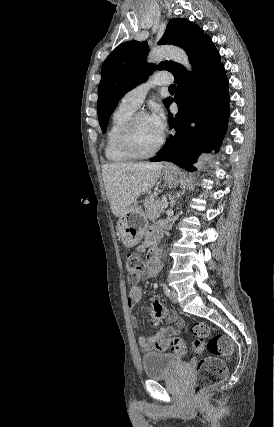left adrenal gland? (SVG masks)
I'll use <instances>...</instances> for the list:
<instances>
[{"label": "left adrenal gland", "instance_id": "obj_1", "mask_svg": "<svg viewBox=\"0 0 274 427\" xmlns=\"http://www.w3.org/2000/svg\"><path fill=\"white\" fill-rule=\"evenodd\" d=\"M169 204H170V208H174L175 204H176V200H175V196H169Z\"/></svg>", "mask_w": 274, "mask_h": 427}]
</instances>
